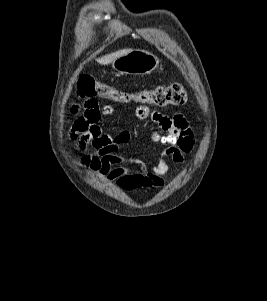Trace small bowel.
I'll use <instances>...</instances> for the list:
<instances>
[{
	"label": "small bowel",
	"mask_w": 267,
	"mask_h": 301,
	"mask_svg": "<svg viewBox=\"0 0 267 301\" xmlns=\"http://www.w3.org/2000/svg\"><path fill=\"white\" fill-rule=\"evenodd\" d=\"M71 112L77 115L70 128L71 137L78 139L81 149L90 144L94 150L92 154L82 156L81 165L126 192L164 187L163 176L169 169V161L180 165L194 149V131L183 115L168 116L147 106H139L135 111L136 117L149 119L160 128L161 133H153L151 141L163 145L164 149L151 169L138 161L140 168L133 170L123 166L124 159L118 154V150L128 142L129 134L120 132L109 135L102 131V119L114 112L112 106L101 107L96 98H86L81 103L73 104Z\"/></svg>",
	"instance_id": "obj_1"
}]
</instances>
